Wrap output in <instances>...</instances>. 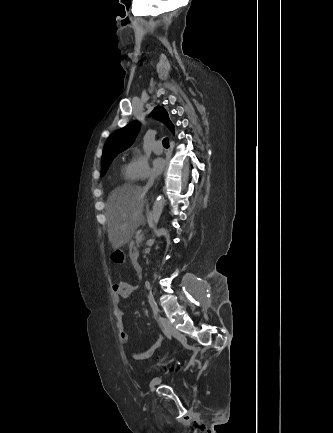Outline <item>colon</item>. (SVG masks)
Segmentation results:
<instances>
[{"mask_svg": "<svg viewBox=\"0 0 333 433\" xmlns=\"http://www.w3.org/2000/svg\"><path fill=\"white\" fill-rule=\"evenodd\" d=\"M125 255H126V252L124 249H112V251H111V256H112V258H115L114 262L117 265H121L124 262L123 258L125 257Z\"/></svg>", "mask_w": 333, "mask_h": 433, "instance_id": "1", "label": "colon"}]
</instances>
